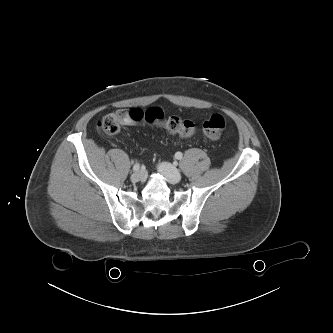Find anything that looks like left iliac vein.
Wrapping results in <instances>:
<instances>
[{"label":"left iliac vein","mask_w":333,"mask_h":333,"mask_svg":"<svg viewBox=\"0 0 333 333\" xmlns=\"http://www.w3.org/2000/svg\"><path fill=\"white\" fill-rule=\"evenodd\" d=\"M158 171L166 177L170 183H179L181 181V173L171 164L162 162L158 165Z\"/></svg>","instance_id":"4c4485c4"}]
</instances>
